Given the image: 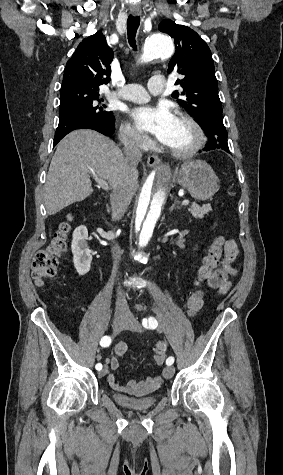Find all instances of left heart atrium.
Masks as SVG:
<instances>
[{
    "label": "left heart atrium",
    "instance_id": "left-heart-atrium-1",
    "mask_svg": "<svg viewBox=\"0 0 283 475\" xmlns=\"http://www.w3.org/2000/svg\"><path fill=\"white\" fill-rule=\"evenodd\" d=\"M132 117L140 130L152 134L163 142L172 135L170 130L175 122V116L165 104L135 109Z\"/></svg>",
    "mask_w": 283,
    "mask_h": 475
}]
</instances>
